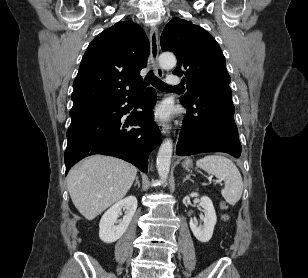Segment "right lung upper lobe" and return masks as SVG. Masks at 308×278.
Returning a JSON list of instances; mask_svg holds the SVG:
<instances>
[{
	"instance_id": "1",
	"label": "right lung upper lobe",
	"mask_w": 308,
	"mask_h": 278,
	"mask_svg": "<svg viewBox=\"0 0 308 278\" xmlns=\"http://www.w3.org/2000/svg\"><path fill=\"white\" fill-rule=\"evenodd\" d=\"M149 41L133 22H118L88 46L73 83L70 116L133 96L142 81Z\"/></svg>"
}]
</instances>
